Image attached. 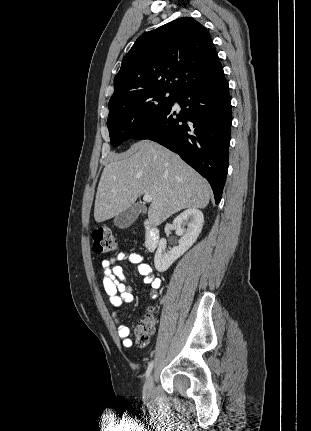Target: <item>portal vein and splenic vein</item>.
<instances>
[{"label":"portal vein and splenic vein","instance_id":"obj_1","mask_svg":"<svg viewBox=\"0 0 311 431\" xmlns=\"http://www.w3.org/2000/svg\"><path fill=\"white\" fill-rule=\"evenodd\" d=\"M143 202H152L151 196H143Z\"/></svg>","mask_w":311,"mask_h":431}]
</instances>
